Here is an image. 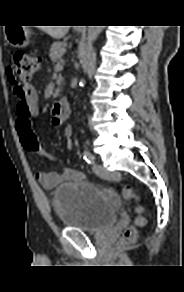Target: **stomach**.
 <instances>
[{"label":"stomach","instance_id":"obj_1","mask_svg":"<svg viewBox=\"0 0 184 292\" xmlns=\"http://www.w3.org/2000/svg\"><path fill=\"white\" fill-rule=\"evenodd\" d=\"M31 31L25 26L7 27L5 38L15 48H24L30 43Z\"/></svg>","mask_w":184,"mask_h":292}]
</instances>
